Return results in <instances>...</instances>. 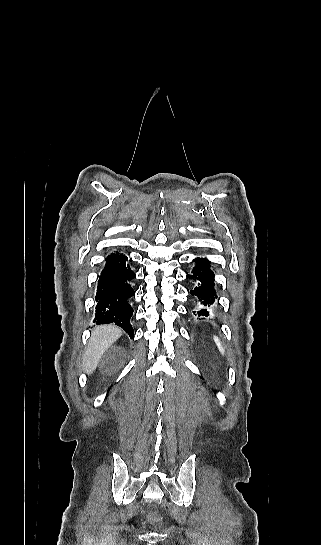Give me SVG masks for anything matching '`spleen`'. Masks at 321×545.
<instances>
[{
    "label": "spleen",
    "instance_id": "obj_1",
    "mask_svg": "<svg viewBox=\"0 0 321 545\" xmlns=\"http://www.w3.org/2000/svg\"><path fill=\"white\" fill-rule=\"evenodd\" d=\"M213 339H214V341H215L221 355H225V349H224L223 345H221L220 339H218V337H213Z\"/></svg>",
    "mask_w": 321,
    "mask_h": 545
}]
</instances>
